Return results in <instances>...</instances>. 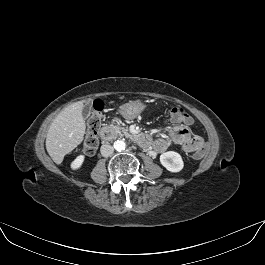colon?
Returning <instances> with one entry per match:
<instances>
[{"mask_svg": "<svg viewBox=\"0 0 265 265\" xmlns=\"http://www.w3.org/2000/svg\"><path fill=\"white\" fill-rule=\"evenodd\" d=\"M102 108L101 106H95V109L87 121V133L83 141L82 151L85 155L91 156L95 153L98 148V131L101 126L102 120ZM166 114L170 118H175L183 124L191 123V116L182 107H172L166 111ZM203 156L202 151H197L194 153L193 157L195 159H200Z\"/></svg>", "mask_w": 265, "mask_h": 265, "instance_id": "obj_1", "label": "colon"}]
</instances>
